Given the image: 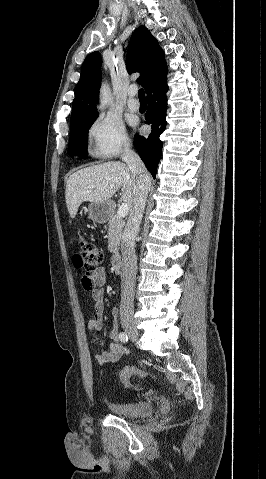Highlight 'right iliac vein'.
<instances>
[{"label": "right iliac vein", "instance_id": "obj_1", "mask_svg": "<svg viewBox=\"0 0 266 479\" xmlns=\"http://www.w3.org/2000/svg\"><path fill=\"white\" fill-rule=\"evenodd\" d=\"M122 326L132 341L138 340V330L133 322H125Z\"/></svg>", "mask_w": 266, "mask_h": 479}]
</instances>
